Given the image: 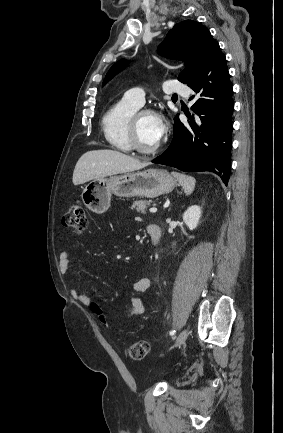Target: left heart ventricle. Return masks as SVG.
<instances>
[{"label": "left heart ventricle", "instance_id": "left-heart-ventricle-1", "mask_svg": "<svg viewBox=\"0 0 283 433\" xmlns=\"http://www.w3.org/2000/svg\"><path fill=\"white\" fill-rule=\"evenodd\" d=\"M158 122V117L153 114H146L142 116L139 122V140L142 144V147L147 151H155L160 147V144L156 143L154 140V133Z\"/></svg>", "mask_w": 283, "mask_h": 433}]
</instances>
